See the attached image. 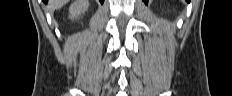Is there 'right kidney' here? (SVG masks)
I'll return each instance as SVG.
<instances>
[{"label": "right kidney", "instance_id": "obj_1", "mask_svg": "<svg viewBox=\"0 0 232 96\" xmlns=\"http://www.w3.org/2000/svg\"><path fill=\"white\" fill-rule=\"evenodd\" d=\"M89 3L87 0H75L69 7L70 18L78 17L88 9Z\"/></svg>", "mask_w": 232, "mask_h": 96}]
</instances>
